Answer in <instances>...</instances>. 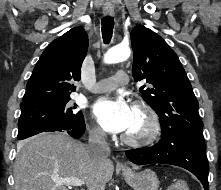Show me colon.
<instances>
[{
	"label": "colon",
	"instance_id": "1",
	"mask_svg": "<svg viewBox=\"0 0 221 190\" xmlns=\"http://www.w3.org/2000/svg\"><path fill=\"white\" fill-rule=\"evenodd\" d=\"M169 190H188L187 183L184 180H178L170 186Z\"/></svg>",
	"mask_w": 221,
	"mask_h": 190
}]
</instances>
